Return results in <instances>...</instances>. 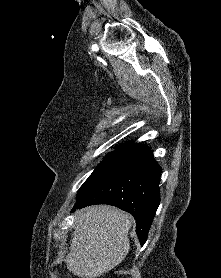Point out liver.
Listing matches in <instances>:
<instances>
[{
	"label": "liver",
	"mask_w": 221,
	"mask_h": 278,
	"mask_svg": "<svg viewBox=\"0 0 221 278\" xmlns=\"http://www.w3.org/2000/svg\"><path fill=\"white\" fill-rule=\"evenodd\" d=\"M134 218L116 207L96 205L77 212L66 264L80 278H97L119 265L130 249Z\"/></svg>",
	"instance_id": "1"
}]
</instances>
